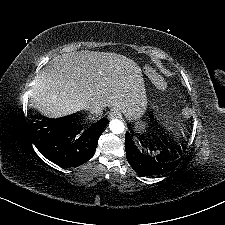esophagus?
<instances>
[{"instance_id": "obj_1", "label": "esophagus", "mask_w": 225, "mask_h": 225, "mask_svg": "<svg viewBox=\"0 0 225 225\" xmlns=\"http://www.w3.org/2000/svg\"><path fill=\"white\" fill-rule=\"evenodd\" d=\"M122 118V114L116 110V109H112L110 112V119H121Z\"/></svg>"}]
</instances>
